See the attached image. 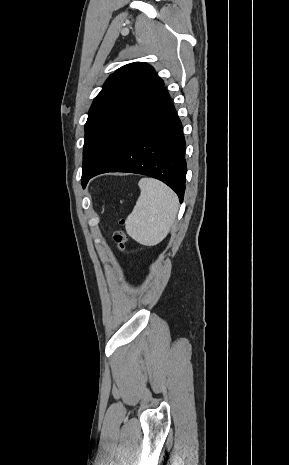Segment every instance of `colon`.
Wrapping results in <instances>:
<instances>
[{
  "label": "colon",
  "mask_w": 289,
  "mask_h": 465,
  "mask_svg": "<svg viewBox=\"0 0 289 465\" xmlns=\"http://www.w3.org/2000/svg\"><path fill=\"white\" fill-rule=\"evenodd\" d=\"M119 224H120L121 228L114 232L113 240H114L115 244L117 245L118 250L122 254H124L126 249H127V244H128L129 237H128V235L126 234V232L124 230V226L126 224L125 220L121 219Z\"/></svg>",
  "instance_id": "colon-1"
}]
</instances>
